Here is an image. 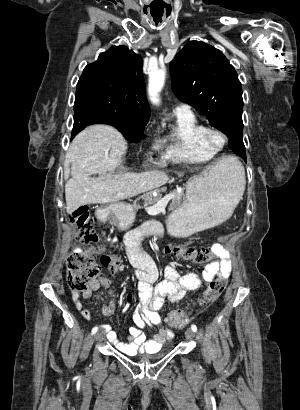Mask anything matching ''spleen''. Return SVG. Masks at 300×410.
<instances>
[{
    "mask_svg": "<svg viewBox=\"0 0 300 410\" xmlns=\"http://www.w3.org/2000/svg\"><path fill=\"white\" fill-rule=\"evenodd\" d=\"M224 169H232L235 173L234 186L236 187L237 194L239 195V200L241 199L243 192L245 190L246 180L245 172L242 164L235 158H227L221 164ZM238 200V202H239Z\"/></svg>",
    "mask_w": 300,
    "mask_h": 410,
    "instance_id": "1",
    "label": "spleen"
}]
</instances>
